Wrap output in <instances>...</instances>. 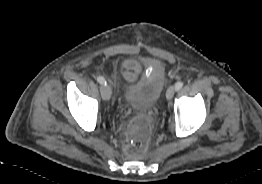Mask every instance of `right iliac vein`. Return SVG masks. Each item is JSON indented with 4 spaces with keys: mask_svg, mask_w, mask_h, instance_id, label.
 Here are the masks:
<instances>
[{
    "mask_svg": "<svg viewBox=\"0 0 262 184\" xmlns=\"http://www.w3.org/2000/svg\"><path fill=\"white\" fill-rule=\"evenodd\" d=\"M101 95L104 100H109L112 95V88L110 85H105L101 88Z\"/></svg>",
    "mask_w": 262,
    "mask_h": 184,
    "instance_id": "63e3f726",
    "label": "right iliac vein"
}]
</instances>
